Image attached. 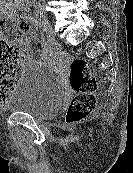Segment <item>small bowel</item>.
<instances>
[{"label": "small bowel", "mask_w": 133, "mask_h": 173, "mask_svg": "<svg viewBox=\"0 0 133 173\" xmlns=\"http://www.w3.org/2000/svg\"><path fill=\"white\" fill-rule=\"evenodd\" d=\"M7 6H9V4H7ZM29 23L31 25L30 30L28 32L29 37L24 36L23 38L20 39V51L22 52V54H26L28 55L30 53V45H29V38H34L35 37V29L37 28V22L33 19L30 18L29 19ZM46 58H60L61 54L58 50V48L56 47L55 49L51 50L50 52L45 54Z\"/></svg>", "instance_id": "c3829d8e"}]
</instances>
